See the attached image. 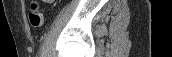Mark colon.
Returning <instances> with one entry per match:
<instances>
[{"instance_id":"1","label":"colon","mask_w":172,"mask_h":57,"mask_svg":"<svg viewBox=\"0 0 172 57\" xmlns=\"http://www.w3.org/2000/svg\"><path fill=\"white\" fill-rule=\"evenodd\" d=\"M29 22L33 27H40L43 24L44 16L37 1H33L28 13Z\"/></svg>"}]
</instances>
